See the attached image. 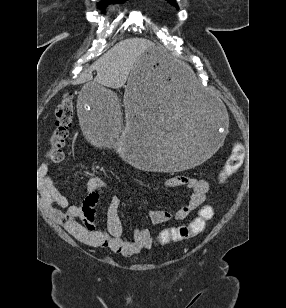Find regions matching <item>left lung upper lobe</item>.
Returning a JSON list of instances; mask_svg holds the SVG:
<instances>
[{"label":"left lung upper lobe","mask_w":286,"mask_h":308,"mask_svg":"<svg viewBox=\"0 0 286 308\" xmlns=\"http://www.w3.org/2000/svg\"><path fill=\"white\" fill-rule=\"evenodd\" d=\"M170 4L177 6L176 0H167ZM178 7V6H177Z\"/></svg>","instance_id":"left-lung-upper-lobe-1"}]
</instances>
